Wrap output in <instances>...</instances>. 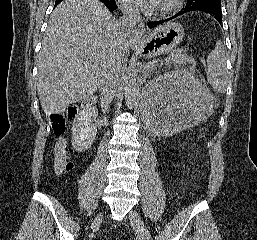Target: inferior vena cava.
I'll return each mask as SVG.
<instances>
[{"label": "inferior vena cava", "mask_w": 257, "mask_h": 240, "mask_svg": "<svg viewBox=\"0 0 257 240\" xmlns=\"http://www.w3.org/2000/svg\"><path fill=\"white\" fill-rule=\"evenodd\" d=\"M122 17L117 23V43L119 46L127 41V37L133 27L140 20L139 9L132 3L127 2L121 5ZM121 65L118 53L113 56L112 64L106 72L100 85V97L104 107L108 105L115 97L120 83Z\"/></svg>", "instance_id": "obj_1"}]
</instances>
